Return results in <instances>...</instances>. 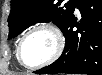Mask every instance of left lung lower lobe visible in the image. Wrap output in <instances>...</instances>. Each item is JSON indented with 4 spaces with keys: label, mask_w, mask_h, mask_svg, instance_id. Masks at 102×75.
Wrapping results in <instances>:
<instances>
[{
    "label": "left lung lower lobe",
    "mask_w": 102,
    "mask_h": 75,
    "mask_svg": "<svg viewBox=\"0 0 102 75\" xmlns=\"http://www.w3.org/2000/svg\"><path fill=\"white\" fill-rule=\"evenodd\" d=\"M76 8L81 12L80 23L72 14L61 28L66 38L62 55L34 73L102 75V0H80Z\"/></svg>",
    "instance_id": "1"
}]
</instances>
